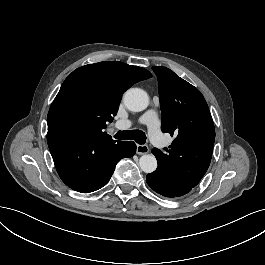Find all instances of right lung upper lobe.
Wrapping results in <instances>:
<instances>
[{
    "instance_id": "1",
    "label": "right lung upper lobe",
    "mask_w": 265,
    "mask_h": 265,
    "mask_svg": "<svg viewBox=\"0 0 265 265\" xmlns=\"http://www.w3.org/2000/svg\"><path fill=\"white\" fill-rule=\"evenodd\" d=\"M150 77L152 74L148 70L122 62L85 65L65 79L52 105L72 96L91 100L100 108L93 135L106 136L102 130L106 128V122H111L116 115L122 94L134 83Z\"/></svg>"
}]
</instances>
